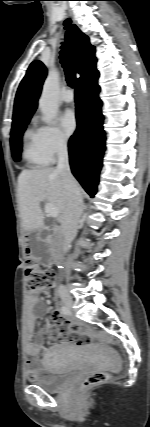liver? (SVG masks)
Returning a JSON list of instances; mask_svg holds the SVG:
<instances>
[{
	"instance_id": "1",
	"label": "liver",
	"mask_w": 150,
	"mask_h": 427,
	"mask_svg": "<svg viewBox=\"0 0 150 427\" xmlns=\"http://www.w3.org/2000/svg\"><path fill=\"white\" fill-rule=\"evenodd\" d=\"M18 199L24 230L43 228L41 202L59 208L61 213L65 210L66 190L61 174L54 168L23 170L18 177Z\"/></svg>"
}]
</instances>
